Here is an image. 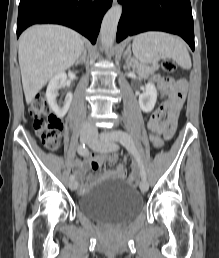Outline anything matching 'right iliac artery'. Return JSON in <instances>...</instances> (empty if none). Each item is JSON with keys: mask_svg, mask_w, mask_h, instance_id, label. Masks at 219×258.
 I'll list each match as a JSON object with an SVG mask.
<instances>
[{"mask_svg": "<svg viewBox=\"0 0 219 258\" xmlns=\"http://www.w3.org/2000/svg\"><path fill=\"white\" fill-rule=\"evenodd\" d=\"M77 151H78V154L81 156H87L89 154V151L84 144L79 145ZM74 179H75V175H70V180H74Z\"/></svg>", "mask_w": 219, "mask_h": 258, "instance_id": "right-iliac-artery-1", "label": "right iliac artery"}]
</instances>
